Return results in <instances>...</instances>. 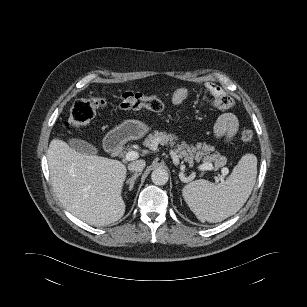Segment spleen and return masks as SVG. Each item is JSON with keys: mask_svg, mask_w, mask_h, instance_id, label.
<instances>
[{"mask_svg": "<svg viewBox=\"0 0 307 307\" xmlns=\"http://www.w3.org/2000/svg\"><path fill=\"white\" fill-rule=\"evenodd\" d=\"M256 176L257 158L254 154H245L222 183L216 185L204 179L196 180L185 185L182 195L201 222H220L237 213L245 204Z\"/></svg>", "mask_w": 307, "mask_h": 307, "instance_id": "obj_1", "label": "spleen"}]
</instances>
